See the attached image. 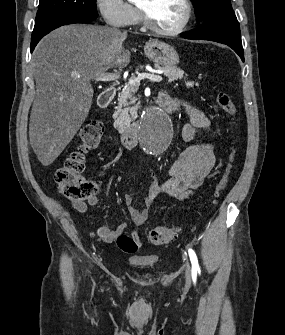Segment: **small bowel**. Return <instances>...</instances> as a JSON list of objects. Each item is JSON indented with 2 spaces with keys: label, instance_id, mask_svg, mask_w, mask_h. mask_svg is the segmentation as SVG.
<instances>
[{
  "label": "small bowel",
  "instance_id": "small-bowel-1",
  "mask_svg": "<svg viewBox=\"0 0 285 335\" xmlns=\"http://www.w3.org/2000/svg\"><path fill=\"white\" fill-rule=\"evenodd\" d=\"M159 99L170 100L175 108L180 105L185 106L190 122L183 126L182 138L188 143V146L171 164L167 172L168 180L166 182L159 183L154 175L151 174L148 176L147 193L142 208H136L132 205L133 200L130 195L126 194L124 196L125 204L136 226L132 236L139 245L142 241L139 228L147 222L149 211L156 200L161 196H169L179 200L188 198L202 185L205 177L210 173L215 164L212 145L195 140L199 131H205L209 128L210 121L207 116L190 103L178 98H172L167 93H161ZM97 203L98 200L96 197H91L88 200V205L90 206H94ZM72 206L79 213H85L87 210V204L84 202L73 201ZM125 228V223H121L114 229L103 225L97 228L96 234L103 242L111 243L120 234L124 233Z\"/></svg>",
  "mask_w": 285,
  "mask_h": 335
}]
</instances>
